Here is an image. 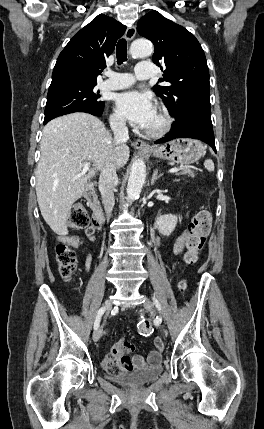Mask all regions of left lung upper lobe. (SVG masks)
<instances>
[{
	"label": "left lung upper lobe",
	"mask_w": 264,
	"mask_h": 429,
	"mask_svg": "<svg viewBox=\"0 0 264 429\" xmlns=\"http://www.w3.org/2000/svg\"><path fill=\"white\" fill-rule=\"evenodd\" d=\"M137 30L155 47L153 62L164 68L154 92L164 101L169 113L180 120L189 107L210 106L209 70L204 51L193 34L184 27L151 11L137 23Z\"/></svg>",
	"instance_id": "5c2ea615"
}]
</instances>
